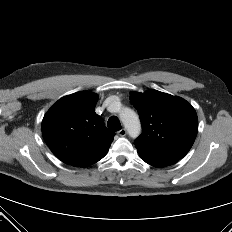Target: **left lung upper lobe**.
<instances>
[{"label": "left lung upper lobe", "instance_id": "1", "mask_svg": "<svg viewBox=\"0 0 232 232\" xmlns=\"http://www.w3.org/2000/svg\"><path fill=\"white\" fill-rule=\"evenodd\" d=\"M143 132L135 140L141 158L179 160L192 147L198 130L194 108L184 99L157 90L132 92Z\"/></svg>", "mask_w": 232, "mask_h": 232}]
</instances>
